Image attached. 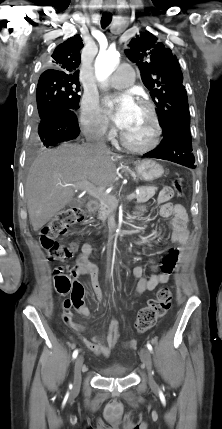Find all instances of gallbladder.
<instances>
[{"label":"gallbladder","instance_id":"gallbladder-1","mask_svg":"<svg viewBox=\"0 0 222 429\" xmlns=\"http://www.w3.org/2000/svg\"><path fill=\"white\" fill-rule=\"evenodd\" d=\"M81 201L79 200V199H72L69 203H68V205L70 206V207H76V206H81Z\"/></svg>","mask_w":222,"mask_h":429}]
</instances>
